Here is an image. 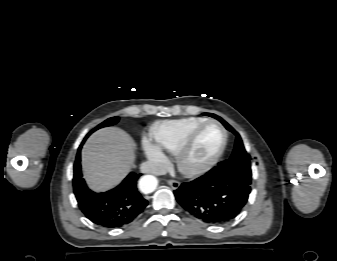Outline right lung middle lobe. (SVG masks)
I'll list each match as a JSON object with an SVG mask.
<instances>
[{
  "label": "right lung middle lobe",
  "instance_id": "right-lung-middle-lobe-1",
  "mask_svg": "<svg viewBox=\"0 0 337 261\" xmlns=\"http://www.w3.org/2000/svg\"><path fill=\"white\" fill-rule=\"evenodd\" d=\"M119 118L118 117H112V118H109L107 120H105L103 123L99 124L96 128H94L93 130H91L87 136L85 137V139H87V137L93 133L95 130L99 129V128H102V127H107V126H112L114 124H116L118 122Z\"/></svg>",
  "mask_w": 337,
  "mask_h": 261
}]
</instances>
